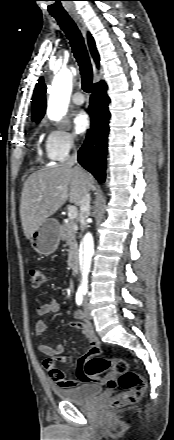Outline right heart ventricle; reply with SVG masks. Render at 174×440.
<instances>
[{"label":"right heart ventricle","mask_w":174,"mask_h":440,"mask_svg":"<svg viewBox=\"0 0 174 440\" xmlns=\"http://www.w3.org/2000/svg\"><path fill=\"white\" fill-rule=\"evenodd\" d=\"M37 154L40 155V151H39V148H38V147H37Z\"/></svg>","instance_id":"e07e8e85"}]
</instances>
